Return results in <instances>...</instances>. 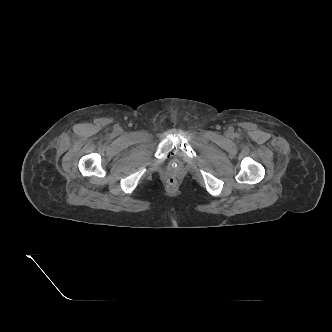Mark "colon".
Masks as SVG:
<instances>
[{
  "instance_id": "obj_1",
  "label": "colon",
  "mask_w": 332,
  "mask_h": 332,
  "mask_svg": "<svg viewBox=\"0 0 332 332\" xmlns=\"http://www.w3.org/2000/svg\"><path fill=\"white\" fill-rule=\"evenodd\" d=\"M176 184V180L174 179V178H170L169 180H168V185L169 186H174Z\"/></svg>"
}]
</instances>
